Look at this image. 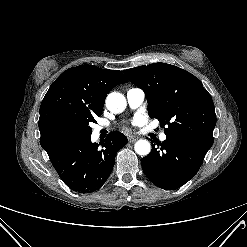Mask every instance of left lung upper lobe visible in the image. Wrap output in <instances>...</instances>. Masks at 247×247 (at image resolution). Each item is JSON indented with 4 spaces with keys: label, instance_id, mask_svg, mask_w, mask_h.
I'll return each instance as SVG.
<instances>
[{
    "label": "left lung upper lobe",
    "instance_id": "left-lung-upper-lobe-1",
    "mask_svg": "<svg viewBox=\"0 0 247 247\" xmlns=\"http://www.w3.org/2000/svg\"><path fill=\"white\" fill-rule=\"evenodd\" d=\"M143 89L148 114L158 119L166 136L184 137L210 148L214 142L216 114L210 94L189 72L166 63L143 65L123 71Z\"/></svg>",
    "mask_w": 247,
    "mask_h": 247
}]
</instances>
